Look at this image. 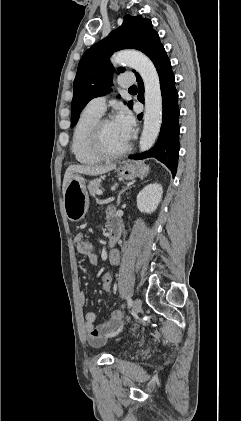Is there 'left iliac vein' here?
Masks as SVG:
<instances>
[{
  "mask_svg": "<svg viewBox=\"0 0 241 421\" xmlns=\"http://www.w3.org/2000/svg\"><path fill=\"white\" fill-rule=\"evenodd\" d=\"M142 308V301L139 298H136L133 302V312L134 313H139L141 311Z\"/></svg>",
  "mask_w": 241,
  "mask_h": 421,
  "instance_id": "1",
  "label": "left iliac vein"
}]
</instances>
